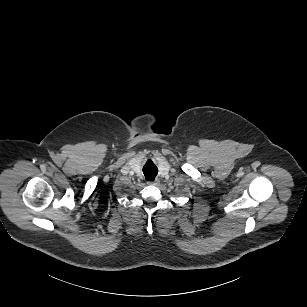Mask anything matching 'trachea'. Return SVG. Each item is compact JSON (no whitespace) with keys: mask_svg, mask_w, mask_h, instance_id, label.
I'll list each match as a JSON object with an SVG mask.
<instances>
[{"mask_svg":"<svg viewBox=\"0 0 307 307\" xmlns=\"http://www.w3.org/2000/svg\"><path fill=\"white\" fill-rule=\"evenodd\" d=\"M143 173L146 180H154L158 173V168L152 160H148L143 167Z\"/></svg>","mask_w":307,"mask_h":307,"instance_id":"obj_1","label":"trachea"}]
</instances>
